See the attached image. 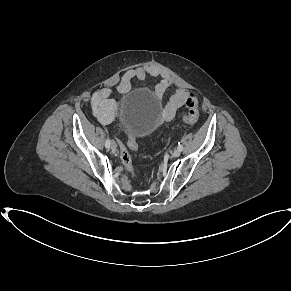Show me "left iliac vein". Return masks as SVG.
I'll list each match as a JSON object with an SVG mask.
<instances>
[{
	"mask_svg": "<svg viewBox=\"0 0 291 291\" xmlns=\"http://www.w3.org/2000/svg\"><path fill=\"white\" fill-rule=\"evenodd\" d=\"M181 154V151L179 149H175L172 153V156L173 157H179Z\"/></svg>",
	"mask_w": 291,
	"mask_h": 291,
	"instance_id": "4c4485c4",
	"label": "left iliac vein"
}]
</instances>
